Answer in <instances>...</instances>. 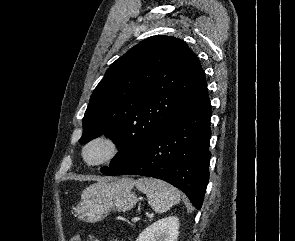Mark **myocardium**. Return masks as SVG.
I'll use <instances>...</instances> for the list:
<instances>
[{
  "mask_svg": "<svg viewBox=\"0 0 295 241\" xmlns=\"http://www.w3.org/2000/svg\"><path fill=\"white\" fill-rule=\"evenodd\" d=\"M98 143L105 144L108 148L107 153L105 154L104 157L97 161H91L88 159V151L89 149ZM122 152V145L120 141L113 135L107 134V133H102L93 136L90 138L83 146L81 149V158L82 161L89 167H98L102 165L109 164L116 160Z\"/></svg>",
  "mask_w": 295,
  "mask_h": 241,
  "instance_id": "obj_1",
  "label": "myocardium"
}]
</instances>
